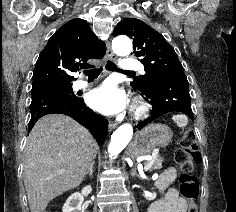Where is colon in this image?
<instances>
[{
	"label": "colon",
	"instance_id": "5ec220e1",
	"mask_svg": "<svg viewBox=\"0 0 236 212\" xmlns=\"http://www.w3.org/2000/svg\"><path fill=\"white\" fill-rule=\"evenodd\" d=\"M174 159L181 171L179 190L188 202L187 212H198L196 200L199 188L194 168L201 162V152L191 130L183 135L181 144L175 151Z\"/></svg>",
	"mask_w": 236,
	"mask_h": 212
}]
</instances>
